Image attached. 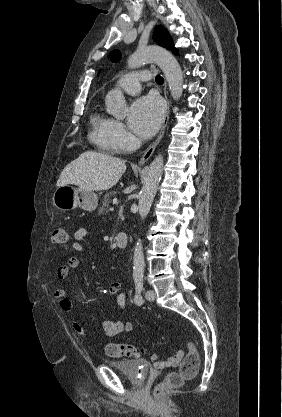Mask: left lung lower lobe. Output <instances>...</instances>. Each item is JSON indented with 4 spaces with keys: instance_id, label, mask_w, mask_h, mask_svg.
Returning a JSON list of instances; mask_svg holds the SVG:
<instances>
[{
    "instance_id": "0a47b994",
    "label": "left lung lower lobe",
    "mask_w": 282,
    "mask_h": 417,
    "mask_svg": "<svg viewBox=\"0 0 282 417\" xmlns=\"http://www.w3.org/2000/svg\"><path fill=\"white\" fill-rule=\"evenodd\" d=\"M172 52H173L174 54H177V49L175 48L174 50H172Z\"/></svg>"
}]
</instances>
